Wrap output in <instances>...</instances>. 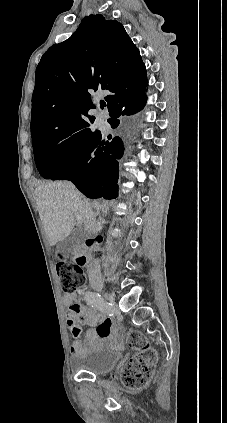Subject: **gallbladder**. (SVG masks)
Returning <instances> with one entry per match:
<instances>
[{
  "label": "gallbladder",
  "mask_w": 227,
  "mask_h": 423,
  "mask_svg": "<svg viewBox=\"0 0 227 423\" xmlns=\"http://www.w3.org/2000/svg\"><path fill=\"white\" fill-rule=\"evenodd\" d=\"M87 233L88 231L87 229H84L83 225H77L68 237H65V239H62V241L57 243L56 251H61L63 255H70L74 247H77V245L82 243L83 239H86Z\"/></svg>",
  "instance_id": "obj_1"
}]
</instances>
